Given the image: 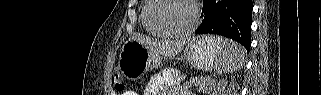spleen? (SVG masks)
<instances>
[{"instance_id":"3e777b00","label":"spleen","mask_w":321,"mask_h":95,"mask_svg":"<svg viewBox=\"0 0 321 95\" xmlns=\"http://www.w3.org/2000/svg\"><path fill=\"white\" fill-rule=\"evenodd\" d=\"M217 42L223 47V52L218 58L215 70L219 74L232 73L243 66L245 51L238 43L229 39L217 37Z\"/></svg>"}]
</instances>
